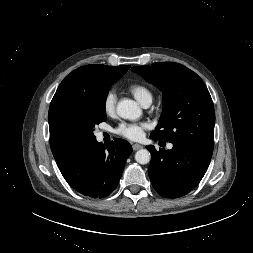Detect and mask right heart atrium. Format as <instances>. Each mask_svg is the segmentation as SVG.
Returning a JSON list of instances; mask_svg holds the SVG:
<instances>
[{"label":"right heart atrium","mask_w":253,"mask_h":253,"mask_svg":"<svg viewBox=\"0 0 253 253\" xmlns=\"http://www.w3.org/2000/svg\"><path fill=\"white\" fill-rule=\"evenodd\" d=\"M117 96L114 91L110 90L106 93L103 100V110L106 115H112L115 111Z\"/></svg>","instance_id":"obj_1"}]
</instances>
